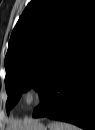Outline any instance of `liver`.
Here are the masks:
<instances>
[{
	"label": "liver",
	"instance_id": "obj_1",
	"mask_svg": "<svg viewBox=\"0 0 95 130\" xmlns=\"http://www.w3.org/2000/svg\"><path fill=\"white\" fill-rule=\"evenodd\" d=\"M26 122H28V121H26ZM26 122H22V121L14 122V123H12V126H9V127H8V130H16V129H18V128H21L22 125H23L24 123H26Z\"/></svg>",
	"mask_w": 95,
	"mask_h": 130
}]
</instances>
